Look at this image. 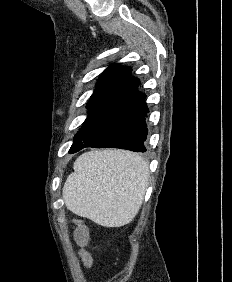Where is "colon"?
Wrapping results in <instances>:
<instances>
[{"label": "colon", "mask_w": 232, "mask_h": 282, "mask_svg": "<svg viewBox=\"0 0 232 282\" xmlns=\"http://www.w3.org/2000/svg\"><path fill=\"white\" fill-rule=\"evenodd\" d=\"M74 236L77 243H79L80 245L85 244L88 239V233L86 228L82 225H79L78 228L75 230Z\"/></svg>", "instance_id": "colon-1"}]
</instances>
